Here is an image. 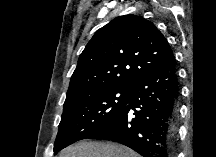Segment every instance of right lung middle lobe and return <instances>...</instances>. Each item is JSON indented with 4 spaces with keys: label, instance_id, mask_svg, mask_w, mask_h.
Wrapping results in <instances>:
<instances>
[{
    "label": "right lung middle lobe",
    "instance_id": "1",
    "mask_svg": "<svg viewBox=\"0 0 216 157\" xmlns=\"http://www.w3.org/2000/svg\"><path fill=\"white\" fill-rule=\"evenodd\" d=\"M131 89L132 85L105 88L73 98L63 107L54 151L89 138L107 125L125 107Z\"/></svg>",
    "mask_w": 216,
    "mask_h": 157
}]
</instances>
